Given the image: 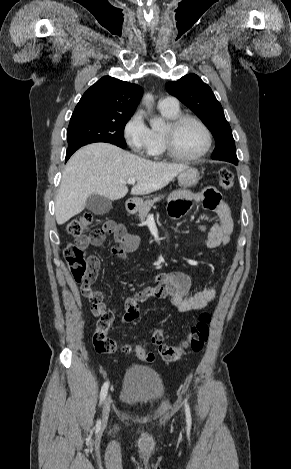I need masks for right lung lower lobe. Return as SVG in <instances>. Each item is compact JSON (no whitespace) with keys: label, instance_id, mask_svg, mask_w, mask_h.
<instances>
[{"label":"right lung lower lobe","instance_id":"1","mask_svg":"<svg viewBox=\"0 0 291 469\" xmlns=\"http://www.w3.org/2000/svg\"><path fill=\"white\" fill-rule=\"evenodd\" d=\"M81 146H75V147H70L67 149V152H66V158H65V161H67L70 156L77 150L79 149Z\"/></svg>","mask_w":291,"mask_h":469}]
</instances>
